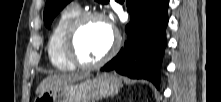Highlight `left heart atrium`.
I'll use <instances>...</instances> for the list:
<instances>
[{
    "instance_id": "1",
    "label": "left heart atrium",
    "mask_w": 221,
    "mask_h": 102,
    "mask_svg": "<svg viewBox=\"0 0 221 102\" xmlns=\"http://www.w3.org/2000/svg\"><path fill=\"white\" fill-rule=\"evenodd\" d=\"M107 26H108L109 30L113 33L112 26L109 23H107Z\"/></svg>"
}]
</instances>
